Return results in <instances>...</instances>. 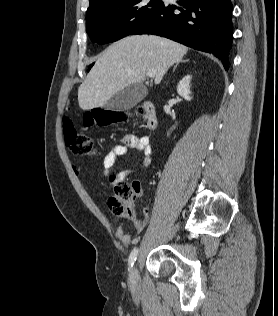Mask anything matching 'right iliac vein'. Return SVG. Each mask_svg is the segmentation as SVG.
<instances>
[{
  "mask_svg": "<svg viewBox=\"0 0 278 316\" xmlns=\"http://www.w3.org/2000/svg\"><path fill=\"white\" fill-rule=\"evenodd\" d=\"M139 282V273H138V268L137 265H135L132 269H131V273H130V284L132 286H137Z\"/></svg>",
  "mask_w": 278,
  "mask_h": 316,
  "instance_id": "obj_1",
  "label": "right iliac vein"
}]
</instances>
